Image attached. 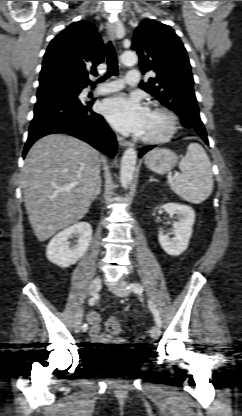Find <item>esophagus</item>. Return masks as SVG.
Returning <instances> with one entry per match:
<instances>
[{"label":"esophagus","mask_w":242,"mask_h":416,"mask_svg":"<svg viewBox=\"0 0 242 416\" xmlns=\"http://www.w3.org/2000/svg\"><path fill=\"white\" fill-rule=\"evenodd\" d=\"M116 31H117V26H116V24H114V23H108V24H107V32H108V34H109V36H110V38H111L112 40H114V39H115V37H116ZM117 140H118L119 144H120L121 146H123V147H126V146H132V145H133L130 141L125 140V139H124L123 137H121V136H117Z\"/></svg>","instance_id":"1"}]
</instances>
